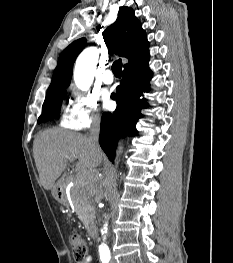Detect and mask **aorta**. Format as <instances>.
Wrapping results in <instances>:
<instances>
[{
  "label": "aorta",
  "mask_w": 233,
  "mask_h": 263,
  "mask_svg": "<svg viewBox=\"0 0 233 263\" xmlns=\"http://www.w3.org/2000/svg\"><path fill=\"white\" fill-rule=\"evenodd\" d=\"M98 61V50L95 47L85 49L77 58L74 69V81L81 90H88L91 86L96 71ZM107 232V224L104 226V232ZM100 256L108 258L110 255L106 244L99 247Z\"/></svg>",
  "instance_id": "aorta-1"
}]
</instances>
